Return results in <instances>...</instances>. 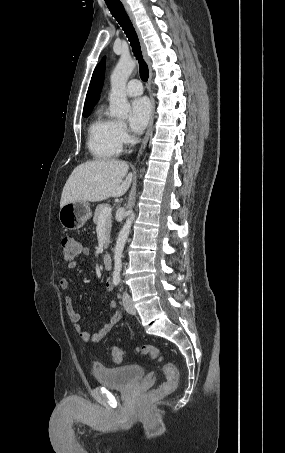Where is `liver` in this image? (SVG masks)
<instances>
[{
    "label": "liver",
    "instance_id": "liver-1",
    "mask_svg": "<svg viewBox=\"0 0 285 453\" xmlns=\"http://www.w3.org/2000/svg\"><path fill=\"white\" fill-rule=\"evenodd\" d=\"M128 169V164L120 160H95L78 165L63 188L60 207L75 201L99 202L124 195L133 178Z\"/></svg>",
    "mask_w": 285,
    "mask_h": 453
}]
</instances>
